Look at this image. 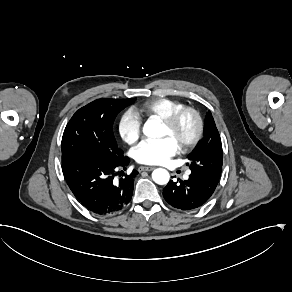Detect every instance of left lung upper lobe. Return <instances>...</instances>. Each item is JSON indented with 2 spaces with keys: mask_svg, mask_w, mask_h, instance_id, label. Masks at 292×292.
Segmentation results:
<instances>
[{
  "mask_svg": "<svg viewBox=\"0 0 292 292\" xmlns=\"http://www.w3.org/2000/svg\"><path fill=\"white\" fill-rule=\"evenodd\" d=\"M191 174L219 181L223 164L222 144L212 113L205 118L204 137L188 155Z\"/></svg>",
  "mask_w": 292,
  "mask_h": 292,
  "instance_id": "left-lung-upper-lobe-1",
  "label": "left lung upper lobe"
}]
</instances>
